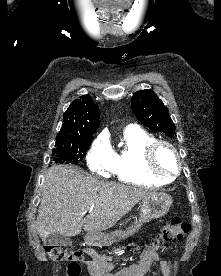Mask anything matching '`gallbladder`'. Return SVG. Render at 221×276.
<instances>
[{"label": "gallbladder", "instance_id": "obj_1", "mask_svg": "<svg viewBox=\"0 0 221 276\" xmlns=\"http://www.w3.org/2000/svg\"><path fill=\"white\" fill-rule=\"evenodd\" d=\"M45 244L50 246L62 247L70 246L72 244V241L69 237L62 235L61 233H52L45 240Z\"/></svg>", "mask_w": 221, "mask_h": 276}]
</instances>
